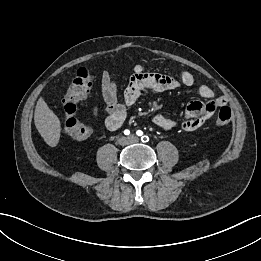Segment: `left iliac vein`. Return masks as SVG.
Segmentation results:
<instances>
[{
  "mask_svg": "<svg viewBox=\"0 0 261 261\" xmlns=\"http://www.w3.org/2000/svg\"><path fill=\"white\" fill-rule=\"evenodd\" d=\"M130 142H138L139 138L137 136L131 135L128 137Z\"/></svg>",
  "mask_w": 261,
  "mask_h": 261,
  "instance_id": "4c4485c4",
  "label": "left iliac vein"
}]
</instances>
